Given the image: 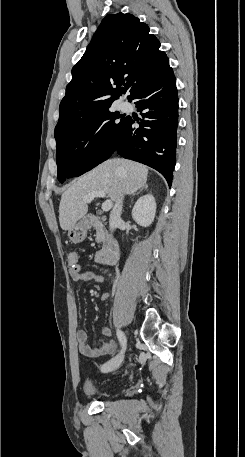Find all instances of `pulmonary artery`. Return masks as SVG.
I'll use <instances>...</instances> for the list:
<instances>
[{"mask_svg":"<svg viewBox=\"0 0 245 457\" xmlns=\"http://www.w3.org/2000/svg\"><path fill=\"white\" fill-rule=\"evenodd\" d=\"M119 109L123 112H130L132 107L128 102H122L119 104Z\"/></svg>","mask_w":245,"mask_h":457,"instance_id":"obj_1","label":"pulmonary artery"}]
</instances>
